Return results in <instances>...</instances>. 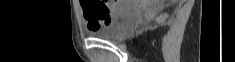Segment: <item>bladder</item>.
Listing matches in <instances>:
<instances>
[{"instance_id":"obj_1","label":"bladder","mask_w":235,"mask_h":62,"mask_svg":"<svg viewBox=\"0 0 235 62\" xmlns=\"http://www.w3.org/2000/svg\"><path fill=\"white\" fill-rule=\"evenodd\" d=\"M141 10L133 2H128L120 8L113 18L101 27L90 31V35L104 40H116L124 37L140 22Z\"/></svg>"}]
</instances>
